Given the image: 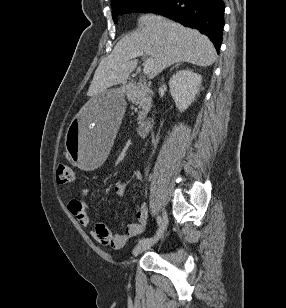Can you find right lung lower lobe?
Wrapping results in <instances>:
<instances>
[{
  "label": "right lung lower lobe",
  "mask_w": 286,
  "mask_h": 308,
  "mask_svg": "<svg viewBox=\"0 0 286 308\" xmlns=\"http://www.w3.org/2000/svg\"><path fill=\"white\" fill-rule=\"evenodd\" d=\"M225 6L222 0H168L155 13L196 28L220 51Z\"/></svg>",
  "instance_id": "1"
}]
</instances>
